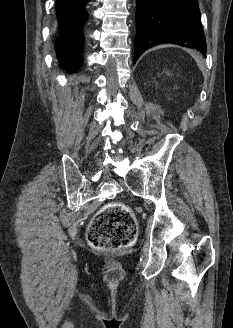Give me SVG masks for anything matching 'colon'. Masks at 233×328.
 <instances>
[{"label": "colon", "instance_id": "5ec220e1", "mask_svg": "<svg viewBox=\"0 0 233 328\" xmlns=\"http://www.w3.org/2000/svg\"><path fill=\"white\" fill-rule=\"evenodd\" d=\"M137 222L128 207L121 203H109L102 207L91 221L87 240L102 251L128 247L137 236Z\"/></svg>", "mask_w": 233, "mask_h": 328}]
</instances>
